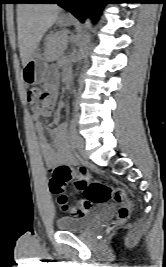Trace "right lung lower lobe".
<instances>
[{
    "mask_svg": "<svg viewBox=\"0 0 166 267\" xmlns=\"http://www.w3.org/2000/svg\"><path fill=\"white\" fill-rule=\"evenodd\" d=\"M50 0H27L26 3H47Z\"/></svg>",
    "mask_w": 166,
    "mask_h": 267,
    "instance_id": "right-lung-lower-lobe-1",
    "label": "right lung lower lobe"
}]
</instances>
